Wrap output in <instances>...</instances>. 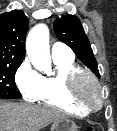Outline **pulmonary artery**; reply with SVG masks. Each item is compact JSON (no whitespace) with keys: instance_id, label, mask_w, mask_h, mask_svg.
Masks as SVG:
<instances>
[{"instance_id":"obj_1","label":"pulmonary artery","mask_w":117,"mask_h":131,"mask_svg":"<svg viewBox=\"0 0 117 131\" xmlns=\"http://www.w3.org/2000/svg\"><path fill=\"white\" fill-rule=\"evenodd\" d=\"M52 59L73 58V52L66 45L56 42L51 49Z\"/></svg>"}]
</instances>
